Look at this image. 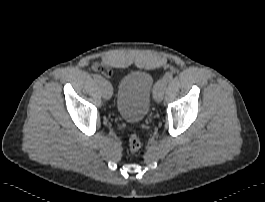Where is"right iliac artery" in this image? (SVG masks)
Returning <instances> with one entry per match:
<instances>
[{
  "label": "right iliac artery",
  "instance_id": "1",
  "mask_svg": "<svg viewBox=\"0 0 265 202\" xmlns=\"http://www.w3.org/2000/svg\"><path fill=\"white\" fill-rule=\"evenodd\" d=\"M93 79H94L96 82H98V83H100V82L103 80V78H102L100 75H98V74H94V75H93Z\"/></svg>",
  "mask_w": 265,
  "mask_h": 202
}]
</instances>
